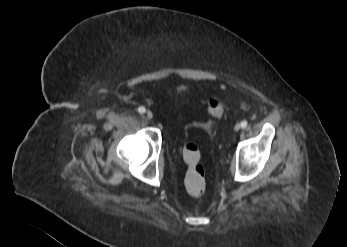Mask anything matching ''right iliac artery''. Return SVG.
<instances>
[{
    "label": "right iliac artery",
    "mask_w": 347,
    "mask_h": 247,
    "mask_svg": "<svg viewBox=\"0 0 347 247\" xmlns=\"http://www.w3.org/2000/svg\"><path fill=\"white\" fill-rule=\"evenodd\" d=\"M145 111H146V109L143 106L138 108V112L141 113V114L145 113Z\"/></svg>",
    "instance_id": "obj_1"
}]
</instances>
